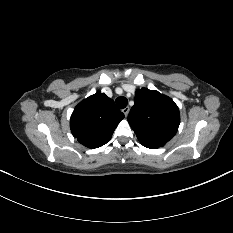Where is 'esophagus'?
Here are the masks:
<instances>
[{
    "label": "esophagus",
    "mask_w": 233,
    "mask_h": 233,
    "mask_svg": "<svg viewBox=\"0 0 233 233\" xmlns=\"http://www.w3.org/2000/svg\"><path fill=\"white\" fill-rule=\"evenodd\" d=\"M129 110H130L129 107H125V108L122 110V112L124 113L125 117L128 116Z\"/></svg>",
    "instance_id": "obj_1"
}]
</instances>
